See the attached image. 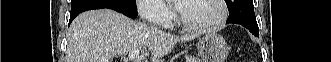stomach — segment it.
Returning a JSON list of instances; mask_svg holds the SVG:
<instances>
[{"instance_id":"stomach-1","label":"stomach","mask_w":331,"mask_h":62,"mask_svg":"<svg viewBox=\"0 0 331 62\" xmlns=\"http://www.w3.org/2000/svg\"><path fill=\"white\" fill-rule=\"evenodd\" d=\"M197 48L203 62H224L230 51L224 38L215 33L203 36Z\"/></svg>"}]
</instances>
